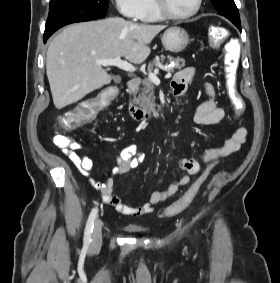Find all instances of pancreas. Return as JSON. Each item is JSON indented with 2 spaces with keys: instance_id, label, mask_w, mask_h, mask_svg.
I'll list each match as a JSON object with an SVG mask.
<instances>
[{
  "instance_id": "cf45deb5",
  "label": "pancreas",
  "mask_w": 280,
  "mask_h": 283,
  "mask_svg": "<svg viewBox=\"0 0 280 283\" xmlns=\"http://www.w3.org/2000/svg\"><path fill=\"white\" fill-rule=\"evenodd\" d=\"M168 62H174V66L164 68L166 72H173L174 69H181L185 66V60L180 57H167ZM165 57L161 56L160 60H153L148 65V72L151 73L153 71V67H158L164 63ZM142 88L141 93L138 96L137 103L140 107L147 112H155L156 104H155V96H154V85L149 78H145L142 80Z\"/></svg>"
}]
</instances>
